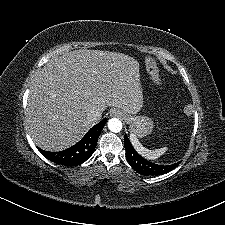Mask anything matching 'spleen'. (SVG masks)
<instances>
[{
  "label": "spleen",
  "instance_id": "spleen-1",
  "mask_svg": "<svg viewBox=\"0 0 225 225\" xmlns=\"http://www.w3.org/2000/svg\"><path fill=\"white\" fill-rule=\"evenodd\" d=\"M130 141L135 150L148 160H155L167 151V147H162L156 150H149L140 143L135 134H130Z\"/></svg>",
  "mask_w": 225,
  "mask_h": 225
}]
</instances>
